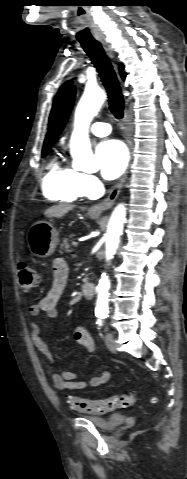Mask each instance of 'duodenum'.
Here are the masks:
<instances>
[{
	"mask_svg": "<svg viewBox=\"0 0 187 479\" xmlns=\"http://www.w3.org/2000/svg\"><path fill=\"white\" fill-rule=\"evenodd\" d=\"M81 294L84 299L92 300L95 295V286L90 282H83L81 285Z\"/></svg>",
	"mask_w": 187,
	"mask_h": 479,
	"instance_id": "410a0bca",
	"label": "duodenum"
}]
</instances>
